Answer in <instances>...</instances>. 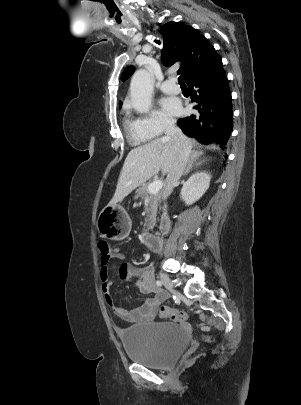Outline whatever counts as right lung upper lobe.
<instances>
[{"instance_id": "cb5924a9", "label": "right lung upper lobe", "mask_w": 301, "mask_h": 405, "mask_svg": "<svg viewBox=\"0 0 301 405\" xmlns=\"http://www.w3.org/2000/svg\"><path fill=\"white\" fill-rule=\"evenodd\" d=\"M160 33L164 38L162 56L166 65L182 62L178 73L184 76L186 82L208 70L220 59L207 39L191 26L168 22L161 27ZM133 71V66L126 68L121 77L122 81L128 79Z\"/></svg>"}]
</instances>
